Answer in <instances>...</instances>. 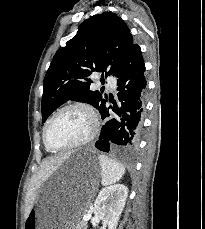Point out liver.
<instances>
[{"instance_id":"obj_1","label":"liver","mask_w":205,"mask_h":229,"mask_svg":"<svg viewBox=\"0 0 205 229\" xmlns=\"http://www.w3.org/2000/svg\"><path fill=\"white\" fill-rule=\"evenodd\" d=\"M70 156V154H64L62 156H55L46 158L41 166L40 170L31 179V189L28 193L25 207V218L28 216L30 210L34 205L36 198V191L40 185L49 178L54 171Z\"/></svg>"}]
</instances>
